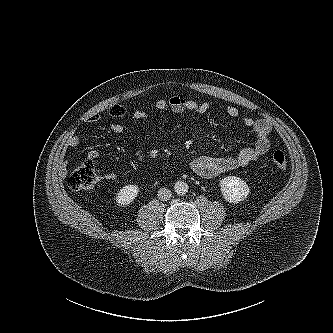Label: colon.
I'll list each match as a JSON object with an SVG mask.
<instances>
[{"label":"colon","mask_w":333,"mask_h":333,"mask_svg":"<svg viewBox=\"0 0 333 333\" xmlns=\"http://www.w3.org/2000/svg\"><path fill=\"white\" fill-rule=\"evenodd\" d=\"M272 164L279 170H287L288 164L285 154L276 150L271 155ZM99 181L95 164L92 160L83 161L69 176L68 186L76 191L91 189Z\"/></svg>","instance_id":"colon-1"}]
</instances>
